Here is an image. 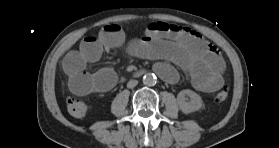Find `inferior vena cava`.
I'll return each instance as SVG.
<instances>
[{"instance_id":"obj_1","label":"inferior vena cava","mask_w":279,"mask_h":148,"mask_svg":"<svg viewBox=\"0 0 279 148\" xmlns=\"http://www.w3.org/2000/svg\"><path fill=\"white\" fill-rule=\"evenodd\" d=\"M137 84H138V81H137V80H130V81L127 83V87H128V88H134Z\"/></svg>"}]
</instances>
